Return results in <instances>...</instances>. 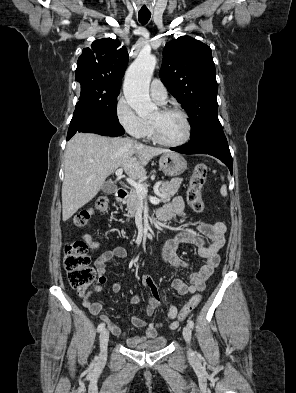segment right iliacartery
Returning a JSON list of instances; mask_svg holds the SVG:
<instances>
[{"instance_id": "1", "label": "right iliac artery", "mask_w": 296, "mask_h": 393, "mask_svg": "<svg viewBox=\"0 0 296 393\" xmlns=\"http://www.w3.org/2000/svg\"><path fill=\"white\" fill-rule=\"evenodd\" d=\"M104 327H105L104 323H100V324L98 325V327H97V331H98V332H101V331L104 329Z\"/></svg>"}]
</instances>
